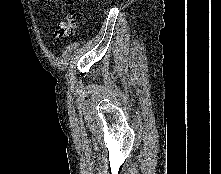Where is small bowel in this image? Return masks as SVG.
<instances>
[{
	"mask_svg": "<svg viewBox=\"0 0 221 174\" xmlns=\"http://www.w3.org/2000/svg\"><path fill=\"white\" fill-rule=\"evenodd\" d=\"M50 1H52V2H58L59 0H50Z\"/></svg>",
	"mask_w": 221,
	"mask_h": 174,
	"instance_id": "obj_1",
	"label": "small bowel"
}]
</instances>
